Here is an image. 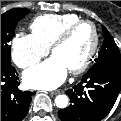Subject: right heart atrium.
<instances>
[{
	"label": "right heart atrium",
	"instance_id": "right-heart-atrium-1",
	"mask_svg": "<svg viewBox=\"0 0 121 121\" xmlns=\"http://www.w3.org/2000/svg\"><path fill=\"white\" fill-rule=\"evenodd\" d=\"M49 53L33 34L18 33L11 41V57L21 69H27L40 61Z\"/></svg>",
	"mask_w": 121,
	"mask_h": 121
}]
</instances>
